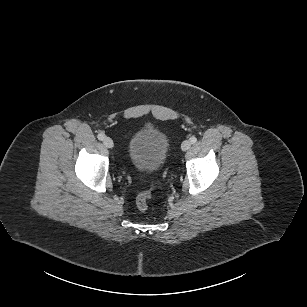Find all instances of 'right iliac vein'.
Here are the masks:
<instances>
[{
	"label": "right iliac vein",
	"mask_w": 307,
	"mask_h": 307,
	"mask_svg": "<svg viewBox=\"0 0 307 307\" xmlns=\"http://www.w3.org/2000/svg\"><path fill=\"white\" fill-rule=\"evenodd\" d=\"M103 144H104V146H105L106 148H109V149L112 148L113 145H114L112 139L109 138V137H105V138L103 139Z\"/></svg>",
	"instance_id": "63e3f726"
}]
</instances>
